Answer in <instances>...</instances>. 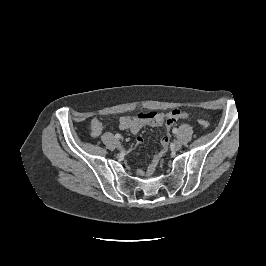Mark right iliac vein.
<instances>
[{"label":"right iliac vein","mask_w":266,"mask_h":266,"mask_svg":"<svg viewBox=\"0 0 266 266\" xmlns=\"http://www.w3.org/2000/svg\"><path fill=\"white\" fill-rule=\"evenodd\" d=\"M115 145H116L117 149H121L122 148V144H121L120 141H117Z\"/></svg>","instance_id":"1"}]
</instances>
